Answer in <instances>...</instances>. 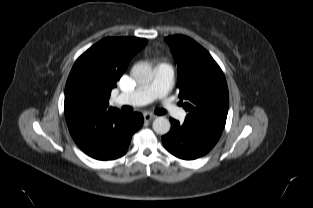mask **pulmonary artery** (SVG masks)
Here are the masks:
<instances>
[{"label": "pulmonary artery", "mask_w": 313, "mask_h": 208, "mask_svg": "<svg viewBox=\"0 0 313 208\" xmlns=\"http://www.w3.org/2000/svg\"><path fill=\"white\" fill-rule=\"evenodd\" d=\"M174 71L171 65L160 63L154 69V79L146 86L139 87L132 92L119 94L116 103L130 106L146 105L156 99L162 100L163 109L172 117L182 118L183 110L166 99L172 87Z\"/></svg>", "instance_id": "1"}]
</instances>
